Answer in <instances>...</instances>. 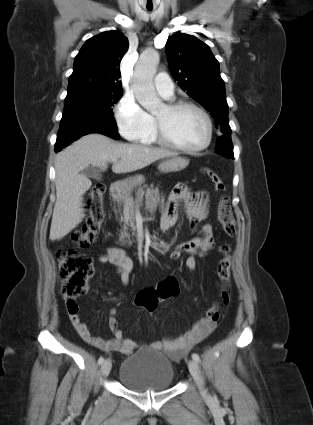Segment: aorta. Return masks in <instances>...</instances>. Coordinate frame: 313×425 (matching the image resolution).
Returning <instances> with one entry per match:
<instances>
[{
  "label": "aorta",
  "mask_w": 313,
  "mask_h": 425,
  "mask_svg": "<svg viewBox=\"0 0 313 425\" xmlns=\"http://www.w3.org/2000/svg\"><path fill=\"white\" fill-rule=\"evenodd\" d=\"M159 54L154 49L145 50L133 74L132 89L139 104L153 113L161 106V99L157 97L153 78L159 64Z\"/></svg>",
  "instance_id": "1"
}]
</instances>
